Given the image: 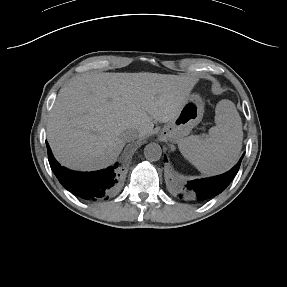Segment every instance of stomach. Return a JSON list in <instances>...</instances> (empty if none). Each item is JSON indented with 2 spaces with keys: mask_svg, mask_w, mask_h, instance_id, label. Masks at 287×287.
I'll list each match as a JSON object with an SVG mask.
<instances>
[{
  "mask_svg": "<svg viewBox=\"0 0 287 287\" xmlns=\"http://www.w3.org/2000/svg\"><path fill=\"white\" fill-rule=\"evenodd\" d=\"M204 113V104L199 96L190 95L178 115L169 121L161 134L171 142H179L189 135L191 130L200 123Z\"/></svg>",
  "mask_w": 287,
  "mask_h": 287,
  "instance_id": "obj_1",
  "label": "stomach"
}]
</instances>
